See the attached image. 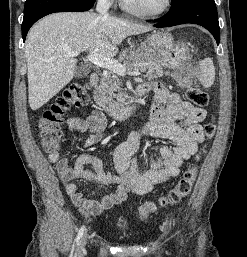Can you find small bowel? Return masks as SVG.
I'll list each match as a JSON object with an SVG mask.
<instances>
[{
    "instance_id": "1",
    "label": "small bowel",
    "mask_w": 247,
    "mask_h": 257,
    "mask_svg": "<svg viewBox=\"0 0 247 257\" xmlns=\"http://www.w3.org/2000/svg\"><path fill=\"white\" fill-rule=\"evenodd\" d=\"M143 85L146 92L153 91L155 94L149 120L108 153V157L114 163L116 174L106 171L102 161L94 155H80L73 166L67 158L61 157L58 150L48 155V160L55 166L67 195L82 212L99 215L104 210L121 204L129 194L146 195L154 186L169 182L179 174L184 161L196 153L198 144L204 140L200 125L206 117L204 109L184 101L178 93L169 91L160 83ZM179 121H182L183 125H180ZM105 129L106 119L98 111H93L85 119L74 117L67 122L69 132L88 133L89 136L83 143L85 148L100 142ZM148 137L168 139L175 146L156 148L158 157L149 160L146 170L139 172L134 154ZM86 164H91L94 171L84 169ZM79 178L101 185L114 184L116 189L100 200L88 199L78 191L77 184L73 182Z\"/></svg>"
}]
</instances>
